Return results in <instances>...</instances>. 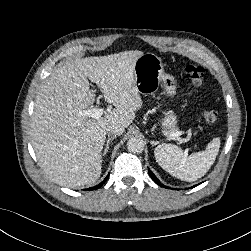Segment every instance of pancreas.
<instances>
[{
  "label": "pancreas",
  "mask_w": 251,
  "mask_h": 251,
  "mask_svg": "<svg viewBox=\"0 0 251 251\" xmlns=\"http://www.w3.org/2000/svg\"><path fill=\"white\" fill-rule=\"evenodd\" d=\"M176 129L175 128H173L172 130H171V132H174Z\"/></svg>",
  "instance_id": "1"
}]
</instances>
